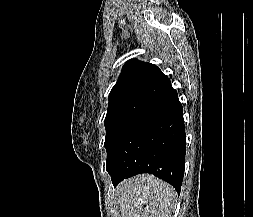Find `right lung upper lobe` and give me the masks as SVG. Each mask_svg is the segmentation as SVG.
I'll return each mask as SVG.
<instances>
[{"instance_id":"cb5924a9","label":"right lung upper lobe","mask_w":253,"mask_h":217,"mask_svg":"<svg viewBox=\"0 0 253 217\" xmlns=\"http://www.w3.org/2000/svg\"><path fill=\"white\" fill-rule=\"evenodd\" d=\"M171 87L170 80L157 66L130 60L110 92L109 106L130 100L152 102Z\"/></svg>"}]
</instances>
